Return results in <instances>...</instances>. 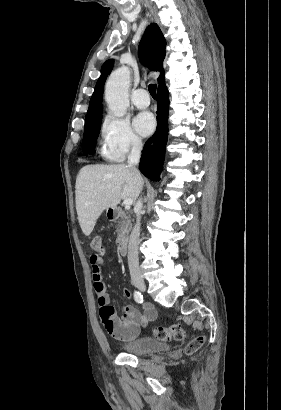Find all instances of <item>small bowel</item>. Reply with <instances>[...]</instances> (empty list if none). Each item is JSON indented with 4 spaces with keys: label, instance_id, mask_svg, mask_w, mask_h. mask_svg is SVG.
<instances>
[{
    "label": "small bowel",
    "instance_id": "obj_1",
    "mask_svg": "<svg viewBox=\"0 0 281 410\" xmlns=\"http://www.w3.org/2000/svg\"><path fill=\"white\" fill-rule=\"evenodd\" d=\"M90 263L92 267V278L94 282V291L97 297V304L100 308V315L102 322H112V328L107 330L109 334L117 340L122 341H132L139 335L140 329L147 326L150 322L154 321L156 318V311L150 305L144 306V312H140L137 308L131 305H126L124 307V312L121 317L115 315L114 308L110 306V299L106 290V286L102 281V270L101 266L103 264L102 257L94 254L90 257ZM122 294L125 298H130L132 292L124 288ZM103 310H112L113 315L107 320L102 314Z\"/></svg>",
    "mask_w": 281,
    "mask_h": 410
}]
</instances>
